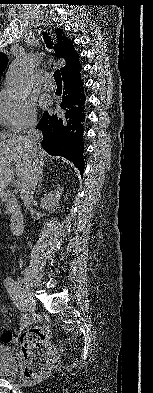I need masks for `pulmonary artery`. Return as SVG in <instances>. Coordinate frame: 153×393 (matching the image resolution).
<instances>
[{
  "label": "pulmonary artery",
  "instance_id": "e3ab8cb5",
  "mask_svg": "<svg viewBox=\"0 0 153 393\" xmlns=\"http://www.w3.org/2000/svg\"><path fill=\"white\" fill-rule=\"evenodd\" d=\"M52 77L50 75H47L42 78V85L44 88L49 89L53 87V83L51 81Z\"/></svg>",
  "mask_w": 153,
  "mask_h": 393
}]
</instances>
